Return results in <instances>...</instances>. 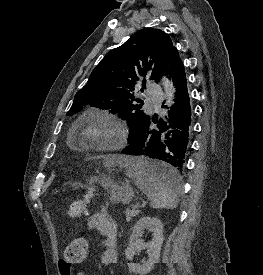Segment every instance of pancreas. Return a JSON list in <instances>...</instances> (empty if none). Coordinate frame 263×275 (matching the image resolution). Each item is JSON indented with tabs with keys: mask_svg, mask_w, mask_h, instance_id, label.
Masks as SVG:
<instances>
[{
	"mask_svg": "<svg viewBox=\"0 0 263 275\" xmlns=\"http://www.w3.org/2000/svg\"><path fill=\"white\" fill-rule=\"evenodd\" d=\"M139 210H126V220L130 221L133 217H136L139 214Z\"/></svg>",
	"mask_w": 263,
	"mask_h": 275,
	"instance_id": "1",
	"label": "pancreas"
}]
</instances>
